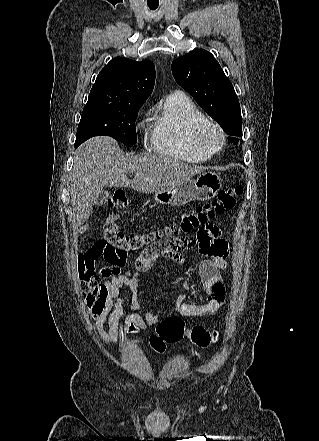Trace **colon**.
<instances>
[{
  "label": "colon",
  "mask_w": 319,
  "mask_h": 441,
  "mask_svg": "<svg viewBox=\"0 0 319 441\" xmlns=\"http://www.w3.org/2000/svg\"><path fill=\"white\" fill-rule=\"evenodd\" d=\"M241 186H233L219 192L217 198L210 203L196 206L182 212L178 219L163 230L126 234L118 229L117 213L111 212L103 224V238L98 243L102 246L103 255L111 264L124 265L127 255L141 250L164 236L199 231L209 224V221L232 210L237 198L242 194ZM108 206L113 210L124 209L127 206V196L122 190L115 191L108 199ZM199 233V232H198ZM94 269L92 264L79 265V277L83 289L93 284ZM185 334V325L178 316H170L161 320L155 333L149 338L150 347L157 353H163L168 344L180 341ZM189 336L198 347H208L219 339L217 331H209L203 326H194Z\"/></svg>",
  "instance_id": "5ec220e1"
}]
</instances>
